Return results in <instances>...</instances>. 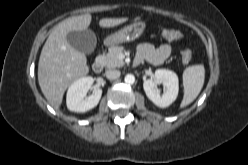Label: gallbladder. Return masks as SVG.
I'll return each mask as SVG.
<instances>
[{"instance_id":"1","label":"gallbladder","mask_w":248,"mask_h":165,"mask_svg":"<svg viewBox=\"0 0 248 165\" xmlns=\"http://www.w3.org/2000/svg\"><path fill=\"white\" fill-rule=\"evenodd\" d=\"M68 43L76 50L91 54L97 43L96 35L93 31L86 29L81 31H70L67 36Z\"/></svg>"}]
</instances>
